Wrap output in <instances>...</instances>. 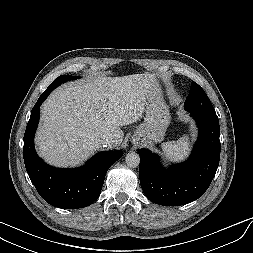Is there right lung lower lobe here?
Listing matches in <instances>:
<instances>
[{
  "label": "right lung lower lobe",
  "instance_id": "98d812e1",
  "mask_svg": "<svg viewBox=\"0 0 253 253\" xmlns=\"http://www.w3.org/2000/svg\"><path fill=\"white\" fill-rule=\"evenodd\" d=\"M45 90L32 109L24 134L23 157L27 173L40 196L49 204L63 209L89 206L100 195L109 167L120 159L122 151L97 154L76 169L51 167L35 152L34 134L39 122L40 106L50 94Z\"/></svg>",
  "mask_w": 253,
  "mask_h": 253
}]
</instances>
